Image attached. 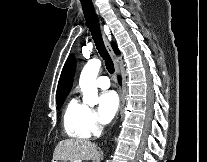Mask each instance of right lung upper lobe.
Wrapping results in <instances>:
<instances>
[{
  "label": "right lung upper lobe",
  "instance_id": "cb5924a9",
  "mask_svg": "<svg viewBox=\"0 0 207 162\" xmlns=\"http://www.w3.org/2000/svg\"><path fill=\"white\" fill-rule=\"evenodd\" d=\"M112 47L114 52L116 54H119V50L114 44H112ZM74 71H75V59L73 55H71L67 59L60 76L58 89L56 93V100L64 98L68 95L72 87Z\"/></svg>",
  "mask_w": 207,
  "mask_h": 162
}]
</instances>
